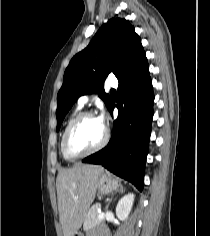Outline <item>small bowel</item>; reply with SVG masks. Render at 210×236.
<instances>
[{"label": "small bowel", "mask_w": 210, "mask_h": 236, "mask_svg": "<svg viewBox=\"0 0 210 236\" xmlns=\"http://www.w3.org/2000/svg\"><path fill=\"white\" fill-rule=\"evenodd\" d=\"M88 236H104V234L102 233V231H95L90 233Z\"/></svg>", "instance_id": "c3829d8e"}]
</instances>
